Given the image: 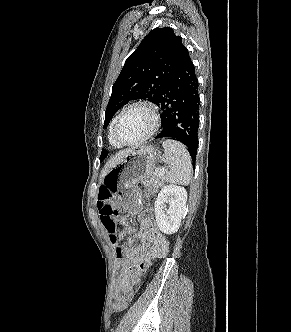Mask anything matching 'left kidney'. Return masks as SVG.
I'll list each match as a JSON object with an SVG mask.
<instances>
[{
	"instance_id": "left-kidney-1",
	"label": "left kidney",
	"mask_w": 291,
	"mask_h": 332,
	"mask_svg": "<svg viewBox=\"0 0 291 332\" xmlns=\"http://www.w3.org/2000/svg\"><path fill=\"white\" fill-rule=\"evenodd\" d=\"M186 202L187 191L184 187L170 184L161 189L154 204L156 222L161 232L168 235L177 232L185 214Z\"/></svg>"
}]
</instances>
